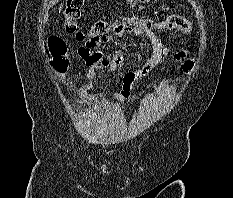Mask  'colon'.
Listing matches in <instances>:
<instances>
[{
    "instance_id": "colon-1",
    "label": "colon",
    "mask_w": 233,
    "mask_h": 198,
    "mask_svg": "<svg viewBox=\"0 0 233 198\" xmlns=\"http://www.w3.org/2000/svg\"><path fill=\"white\" fill-rule=\"evenodd\" d=\"M84 0H67L64 9V22L62 29L75 37L79 42H85V46L93 47L99 39L108 36L111 32L110 24L103 20L96 21L87 31H80L78 29V21L80 20L83 12ZM122 24L142 25L145 31L152 32L156 29H177L183 32L191 30V22L179 15H171L167 18L154 21L152 19L137 20L130 19L120 21ZM47 50L52 57V65L60 72L65 73L68 68V59L66 57L67 47L65 42L58 37H50L47 40ZM194 62L186 60L183 64V70L189 71L192 69Z\"/></svg>"
}]
</instances>
